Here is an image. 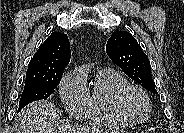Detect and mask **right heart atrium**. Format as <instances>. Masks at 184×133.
Listing matches in <instances>:
<instances>
[{"label":"right heart atrium","instance_id":"obj_1","mask_svg":"<svg viewBox=\"0 0 184 133\" xmlns=\"http://www.w3.org/2000/svg\"><path fill=\"white\" fill-rule=\"evenodd\" d=\"M59 94L69 115L77 120L87 116L89 89L81 70L71 71L62 78Z\"/></svg>","mask_w":184,"mask_h":133}]
</instances>
